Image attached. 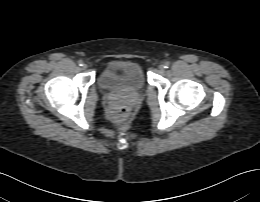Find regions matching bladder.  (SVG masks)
Segmentation results:
<instances>
[{
  "mask_svg": "<svg viewBox=\"0 0 260 202\" xmlns=\"http://www.w3.org/2000/svg\"><path fill=\"white\" fill-rule=\"evenodd\" d=\"M97 84L105 91L138 94L145 90L147 83L144 71L138 63L116 61L101 70Z\"/></svg>",
  "mask_w": 260,
  "mask_h": 202,
  "instance_id": "31cf9c89",
  "label": "bladder"
}]
</instances>
